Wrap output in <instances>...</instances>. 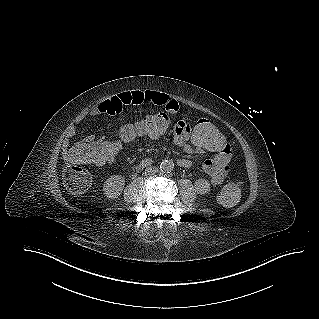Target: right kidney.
I'll return each instance as SVG.
<instances>
[{"label":"right kidney","instance_id":"right-kidney-1","mask_svg":"<svg viewBox=\"0 0 319 319\" xmlns=\"http://www.w3.org/2000/svg\"><path fill=\"white\" fill-rule=\"evenodd\" d=\"M125 185V177L122 175H113L109 177L103 186V191L105 196L108 199L118 198L124 188Z\"/></svg>","mask_w":319,"mask_h":319}]
</instances>
